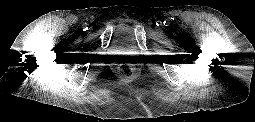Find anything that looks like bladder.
Returning a JSON list of instances; mask_svg holds the SVG:
<instances>
[{"label":"bladder","instance_id":"obj_1","mask_svg":"<svg viewBox=\"0 0 255 122\" xmlns=\"http://www.w3.org/2000/svg\"><path fill=\"white\" fill-rule=\"evenodd\" d=\"M114 46L117 49H132L134 46V37L132 29L125 25L119 28L114 38Z\"/></svg>","mask_w":255,"mask_h":122}]
</instances>
